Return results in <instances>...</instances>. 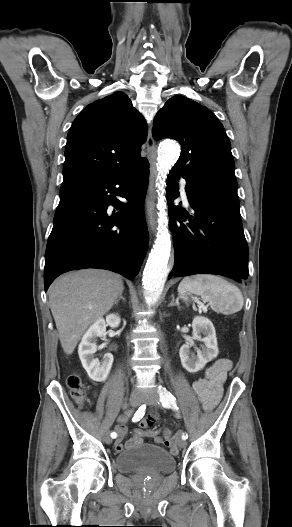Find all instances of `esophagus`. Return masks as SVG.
<instances>
[{
	"label": "esophagus",
	"instance_id": "esophagus-1",
	"mask_svg": "<svg viewBox=\"0 0 292 527\" xmlns=\"http://www.w3.org/2000/svg\"><path fill=\"white\" fill-rule=\"evenodd\" d=\"M147 153H148V160L150 162L151 172H152V179L156 176V146L155 141L152 136L151 127L149 130L148 138H147ZM149 205H150V199L147 201V208L149 211Z\"/></svg>",
	"mask_w": 292,
	"mask_h": 527
}]
</instances>
